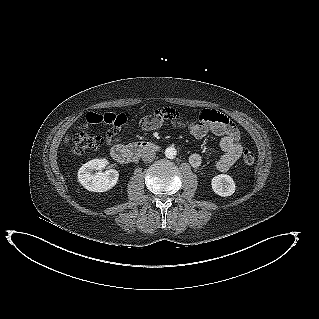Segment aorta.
Here are the masks:
<instances>
[{"instance_id":"762f6f07","label":"aorta","mask_w":319,"mask_h":319,"mask_svg":"<svg viewBox=\"0 0 319 319\" xmlns=\"http://www.w3.org/2000/svg\"><path fill=\"white\" fill-rule=\"evenodd\" d=\"M177 155V151L174 147L170 146V147H167L166 150H165V156L169 159H173L175 158Z\"/></svg>"}]
</instances>
